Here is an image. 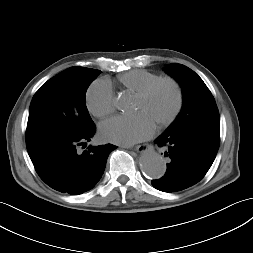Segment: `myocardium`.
Segmentation results:
<instances>
[{"label":"myocardium","mask_w":253,"mask_h":253,"mask_svg":"<svg viewBox=\"0 0 253 253\" xmlns=\"http://www.w3.org/2000/svg\"><path fill=\"white\" fill-rule=\"evenodd\" d=\"M162 84H169L175 92V104H174V107H173L171 113L168 115V117H166L165 119H163L157 123V125L159 127H166L175 121V119L178 117V115L181 112V109L183 107L184 92H183V88H182L181 84L179 83V81H177L173 77H168V76L167 77H160V78L152 81L148 85H146L142 90H140L137 93V97H139L141 99L148 98L152 94V92Z\"/></svg>","instance_id":"obj_1"}]
</instances>
